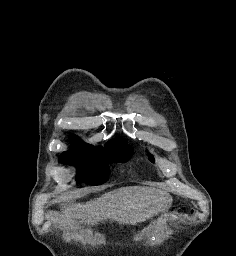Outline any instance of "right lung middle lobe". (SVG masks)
Here are the masks:
<instances>
[{
    "label": "right lung middle lobe",
    "mask_w": 236,
    "mask_h": 256,
    "mask_svg": "<svg viewBox=\"0 0 236 256\" xmlns=\"http://www.w3.org/2000/svg\"><path fill=\"white\" fill-rule=\"evenodd\" d=\"M72 148L60 156V162L75 165L78 171L77 181L88 185H101L109 175L110 163H125L133 154L132 147L126 142H108L105 147H93L80 139L71 138Z\"/></svg>",
    "instance_id": "right-lung-middle-lobe-1"
}]
</instances>
